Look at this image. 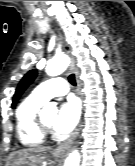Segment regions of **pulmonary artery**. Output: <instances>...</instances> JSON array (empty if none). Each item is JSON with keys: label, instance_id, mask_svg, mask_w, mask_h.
Here are the masks:
<instances>
[{"label": "pulmonary artery", "instance_id": "1", "mask_svg": "<svg viewBox=\"0 0 135 166\" xmlns=\"http://www.w3.org/2000/svg\"><path fill=\"white\" fill-rule=\"evenodd\" d=\"M68 91L69 86L64 79L52 78L34 88L32 94L46 102L53 97L63 96L67 94Z\"/></svg>", "mask_w": 135, "mask_h": 166}]
</instances>
